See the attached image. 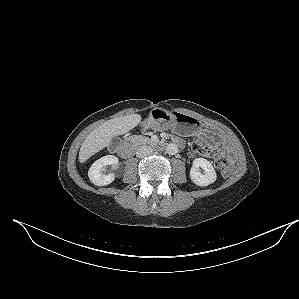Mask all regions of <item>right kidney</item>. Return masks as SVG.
<instances>
[{
    "instance_id": "right-kidney-1",
    "label": "right kidney",
    "mask_w": 299,
    "mask_h": 299,
    "mask_svg": "<svg viewBox=\"0 0 299 299\" xmlns=\"http://www.w3.org/2000/svg\"><path fill=\"white\" fill-rule=\"evenodd\" d=\"M119 159L114 155H107L96 160L88 171V177L91 182L96 186H106L112 183L115 179L113 173L102 174L104 167L111 165L112 169H116Z\"/></svg>"
}]
</instances>
